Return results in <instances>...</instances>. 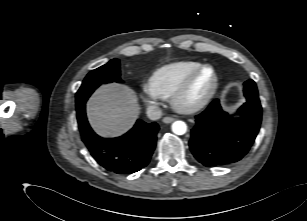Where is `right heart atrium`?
<instances>
[{
    "label": "right heart atrium",
    "instance_id": "1",
    "mask_svg": "<svg viewBox=\"0 0 307 221\" xmlns=\"http://www.w3.org/2000/svg\"><path fill=\"white\" fill-rule=\"evenodd\" d=\"M142 98H143V101H144L145 103H147V104H150V103H151V101H150L149 98H147V97H145V96H143Z\"/></svg>",
    "mask_w": 307,
    "mask_h": 221
}]
</instances>
